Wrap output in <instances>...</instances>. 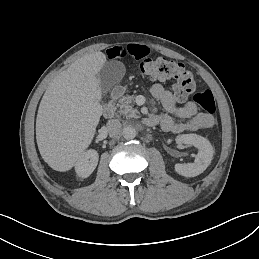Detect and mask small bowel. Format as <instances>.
I'll return each mask as SVG.
<instances>
[{
    "mask_svg": "<svg viewBox=\"0 0 259 259\" xmlns=\"http://www.w3.org/2000/svg\"><path fill=\"white\" fill-rule=\"evenodd\" d=\"M106 57L110 60H118L132 57L142 59L149 54V48L142 44H121L106 50ZM151 95L159 101L166 113L156 116L157 124L162 130L172 133L194 132L213 127L215 119L211 114L199 112L194 101H182L170 90L159 83L150 86ZM174 117L178 118L176 120Z\"/></svg>",
    "mask_w": 259,
    "mask_h": 259,
    "instance_id": "1",
    "label": "small bowel"
}]
</instances>
